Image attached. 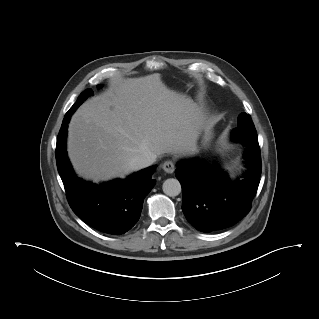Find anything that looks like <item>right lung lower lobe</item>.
Listing matches in <instances>:
<instances>
[{"mask_svg":"<svg viewBox=\"0 0 319 319\" xmlns=\"http://www.w3.org/2000/svg\"><path fill=\"white\" fill-rule=\"evenodd\" d=\"M73 112L66 113L56 146L58 172L68 202L74 213L89 226L107 234H124L140 218L143 200L155 184L151 178L155 167L139 171L128 179L101 185L79 179L66 154L67 126Z\"/></svg>","mask_w":319,"mask_h":319,"instance_id":"obj_1","label":"right lung lower lobe"}]
</instances>
